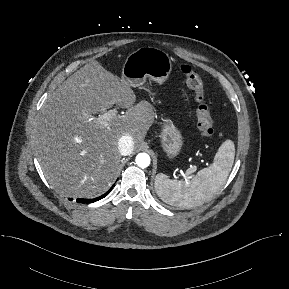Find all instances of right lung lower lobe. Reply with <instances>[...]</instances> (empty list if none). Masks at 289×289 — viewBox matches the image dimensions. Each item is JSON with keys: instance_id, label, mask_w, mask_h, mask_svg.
I'll list each match as a JSON object with an SVG mask.
<instances>
[{"instance_id": "right-lung-lower-lobe-1", "label": "right lung lower lobe", "mask_w": 289, "mask_h": 289, "mask_svg": "<svg viewBox=\"0 0 289 289\" xmlns=\"http://www.w3.org/2000/svg\"><path fill=\"white\" fill-rule=\"evenodd\" d=\"M112 188L113 187H111V189ZM111 189H109L105 194L101 195L98 198H95V199H77V202H80V203H92V202L98 201L99 199H102V198L106 197L109 194V192L111 191Z\"/></svg>"}]
</instances>
